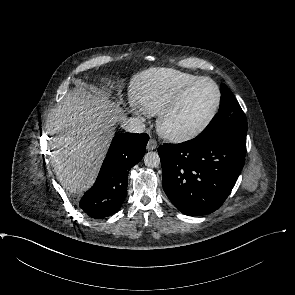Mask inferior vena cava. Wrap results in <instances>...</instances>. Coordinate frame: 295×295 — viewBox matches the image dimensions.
I'll list each match as a JSON object with an SVG mask.
<instances>
[{
  "label": "inferior vena cava",
  "mask_w": 295,
  "mask_h": 295,
  "mask_svg": "<svg viewBox=\"0 0 295 295\" xmlns=\"http://www.w3.org/2000/svg\"><path fill=\"white\" fill-rule=\"evenodd\" d=\"M121 127L130 133H142L145 130L143 121L136 117L125 118L122 120Z\"/></svg>",
  "instance_id": "inferior-vena-cava-1"
}]
</instances>
